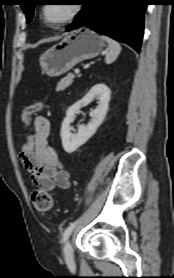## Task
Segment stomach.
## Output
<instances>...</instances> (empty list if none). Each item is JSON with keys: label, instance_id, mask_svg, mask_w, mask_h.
Segmentation results:
<instances>
[{"label": "stomach", "instance_id": "1", "mask_svg": "<svg viewBox=\"0 0 174 278\" xmlns=\"http://www.w3.org/2000/svg\"><path fill=\"white\" fill-rule=\"evenodd\" d=\"M105 44L101 37L89 29H82L63 38L47 49L39 58L42 71L57 77L78 63L99 55Z\"/></svg>", "mask_w": 174, "mask_h": 278}]
</instances>
